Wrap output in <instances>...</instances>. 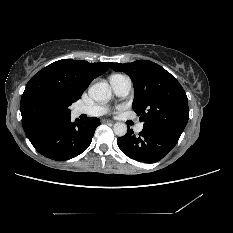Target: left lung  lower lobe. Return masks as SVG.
Instances as JSON below:
<instances>
[{"label": "left lung lower lobe", "mask_w": 233, "mask_h": 233, "mask_svg": "<svg viewBox=\"0 0 233 233\" xmlns=\"http://www.w3.org/2000/svg\"><path fill=\"white\" fill-rule=\"evenodd\" d=\"M180 136L143 128L139 135L132 129L117 139L121 151L128 157L144 162L154 163L162 159L177 144Z\"/></svg>", "instance_id": "obj_1"}]
</instances>
